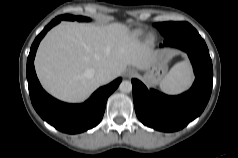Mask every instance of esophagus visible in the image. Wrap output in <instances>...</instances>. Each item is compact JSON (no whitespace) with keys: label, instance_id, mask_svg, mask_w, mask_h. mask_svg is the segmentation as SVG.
<instances>
[{"label":"esophagus","instance_id":"esophagus-1","mask_svg":"<svg viewBox=\"0 0 238 158\" xmlns=\"http://www.w3.org/2000/svg\"><path fill=\"white\" fill-rule=\"evenodd\" d=\"M135 73H136L135 70L129 69L126 73V76L127 77H133L135 75Z\"/></svg>","mask_w":238,"mask_h":158}]
</instances>
